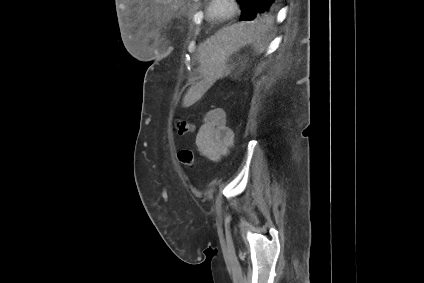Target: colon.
<instances>
[{
    "instance_id": "1",
    "label": "colon",
    "mask_w": 424,
    "mask_h": 283,
    "mask_svg": "<svg viewBox=\"0 0 424 283\" xmlns=\"http://www.w3.org/2000/svg\"><path fill=\"white\" fill-rule=\"evenodd\" d=\"M193 129H194V127H193L192 123L189 122L188 120H185V119L177 120L176 130H177L178 134L186 135V134L191 133L193 131ZM178 158L183 164H185L187 166H191L194 162V154L189 149H183V150L179 151L178 152Z\"/></svg>"
}]
</instances>
